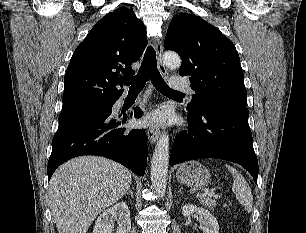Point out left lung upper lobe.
<instances>
[{
	"mask_svg": "<svg viewBox=\"0 0 306 233\" xmlns=\"http://www.w3.org/2000/svg\"><path fill=\"white\" fill-rule=\"evenodd\" d=\"M167 31L164 46L180 55L179 73L190 76L195 91L189 113L214 105L247 109L240 58L227 37L201 17L184 13L172 18Z\"/></svg>",
	"mask_w": 306,
	"mask_h": 233,
	"instance_id": "5c2ea615",
	"label": "left lung upper lobe"
}]
</instances>
